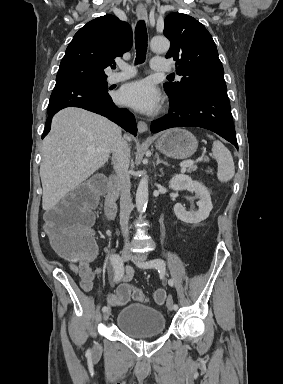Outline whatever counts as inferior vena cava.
Masks as SVG:
<instances>
[{
	"mask_svg": "<svg viewBox=\"0 0 283 384\" xmlns=\"http://www.w3.org/2000/svg\"><path fill=\"white\" fill-rule=\"evenodd\" d=\"M128 136L119 138L112 148L113 164L117 176H119L120 186V226L125 238V246L128 242V222L132 212V200L130 194V178L128 168L130 164V148L126 142Z\"/></svg>",
	"mask_w": 283,
	"mask_h": 384,
	"instance_id": "1",
	"label": "inferior vena cava"
}]
</instances>
